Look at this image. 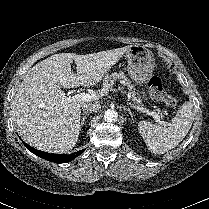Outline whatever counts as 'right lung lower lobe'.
Instances as JSON below:
<instances>
[{
    "mask_svg": "<svg viewBox=\"0 0 209 209\" xmlns=\"http://www.w3.org/2000/svg\"><path fill=\"white\" fill-rule=\"evenodd\" d=\"M26 148L31 151L32 153H34L35 155L44 158L45 160L51 161V162H55V163H65V162H69L72 159L76 158L78 155H80L81 153L84 152L83 150L74 152L72 154L69 155H65V154H50L47 152H43L37 149L32 148L30 145L25 144Z\"/></svg>",
    "mask_w": 209,
    "mask_h": 209,
    "instance_id": "1",
    "label": "right lung lower lobe"
}]
</instances>
